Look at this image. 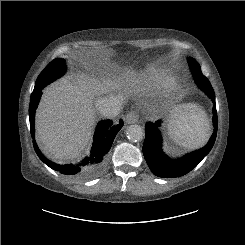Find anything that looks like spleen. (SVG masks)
<instances>
[{"label": "spleen", "mask_w": 245, "mask_h": 245, "mask_svg": "<svg viewBox=\"0 0 245 245\" xmlns=\"http://www.w3.org/2000/svg\"><path fill=\"white\" fill-rule=\"evenodd\" d=\"M183 111L170 119L168 134L179 146L197 149L204 146L211 134L207 114L196 104L182 105Z\"/></svg>", "instance_id": "obj_1"}]
</instances>
